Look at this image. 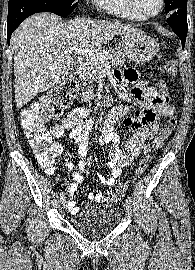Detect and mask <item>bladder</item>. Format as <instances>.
<instances>
[{
	"label": "bladder",
	"instance_id": "bladder-1",
	"mask_svg": "<svg viewBox=\"0 0 195 270\" xmlns=\"http://www.w3.org/2000/svg\"><path fill=\"white\" fill-rule=\"evenodd\" d=\"M120 219V210L114 204L89 206L75 214L72 225L82 233L96 236L114 229Z\"/></svg>",
	"mask_w": 195,
	"mask_h": 270
}]
</instances>
